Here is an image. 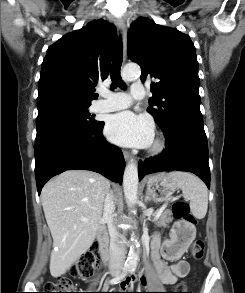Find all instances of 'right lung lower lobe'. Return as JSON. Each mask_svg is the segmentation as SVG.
I'll return each mask as SVG.
<instances>
[{
  "mask_svg": "<svg viewBox=\"0 0 245 293\" xmlns=\"http://www.w3.org/2000/svg\"><path fill=\"white\" fill-rule=\"evenodd\" d=\"M103 126L99 122L87 130L60 132L35 146L38 194L50 178L66 170H90L122 183L124 156L103 137Z\"/></svg>",
  "mask_w": 245,
  "mask_h": 293,
  "instance_id": "98d812e1",
  "label": "right lung lower lobe"
}]
</instances>
